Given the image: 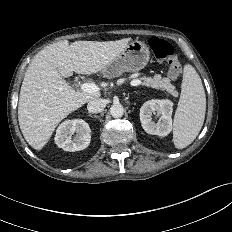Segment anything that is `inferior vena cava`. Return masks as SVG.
<instances>
[{
	"label": "inferior vena cava",
	"instance_id": "1",
	"mask_svg": "<svg viewBox=\"0 0 232 232\" xmlns=\"http://www.w3.org/2000/svg\"><path fill=\"white\" fill-rule=\"evenodd\" d=\"M106 107V100L104 99H93L89 101L87 109L91 113H99Z\"/></svg>",
	"mask_w": 232,
	"mask_h": 232
}]
</instances>
